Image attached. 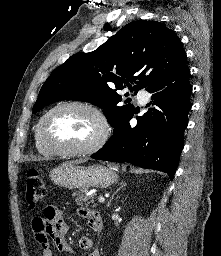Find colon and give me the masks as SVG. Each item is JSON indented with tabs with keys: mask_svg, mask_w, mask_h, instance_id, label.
<instances>
[{
	"mask_svg": "<svg viewBox=\"0 0 221 256\" xmlns=\"http://www.w3.org/2000/svg\"><path fill=\"white\" fill-rule=\"evenodd\" d=\"M26 203L28 207L35 208L45 197L46 187L39 172L31 168L25 176Z\"/></svg>",
	"mask_w": 221,
	"mask_h": 256,
	"instance_id": "5ec220e1",
	"label": "colon"
}]
</instances>
